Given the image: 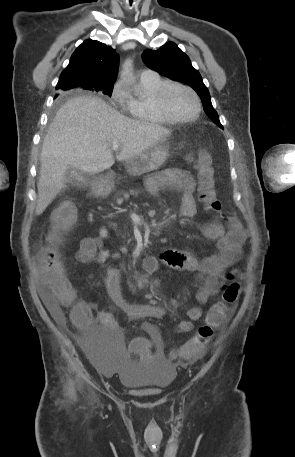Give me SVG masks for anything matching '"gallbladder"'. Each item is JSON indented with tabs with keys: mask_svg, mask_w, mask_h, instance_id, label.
<instances>
[{
	"mask_svg": "<svg viewBox=\"0 0 295 457\" xmlns=\"http://www.w3.org/2000/svg\"><path fill=\"white\" fill-rule=\"evenodd\" d=\"M65 180L73 185L79 184L78 173L73 167H69L65 172Z\"/></svg>",
	"mask_w": 295,
	"mask_h": 457,
	"instance_id": "bac80fb5",
	"label": "gallbladder"
}]
</instances>
